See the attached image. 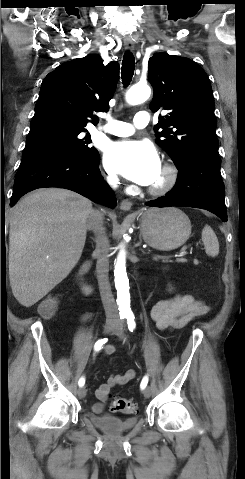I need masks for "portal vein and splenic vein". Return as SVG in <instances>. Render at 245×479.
Masks as SVG:
<instances>
[{"label": "portal vein and splenic vein", "mask_w": 245, "mask_h": 479, "mask_svg": "<svg viewBox=\"0 0 245 479\" xmlns=\"http://www.w3.org/2000/svg\"><path fill=\"white\" fill-rule=\"evenodd\" d=\"M187 247H183L180 252H178L175 256H178V257H183L187 254ZM165 258H169V256H160V255H154V259H165Z\"/></svg>", "instance_id": "18ae733b"}]
</instances>
